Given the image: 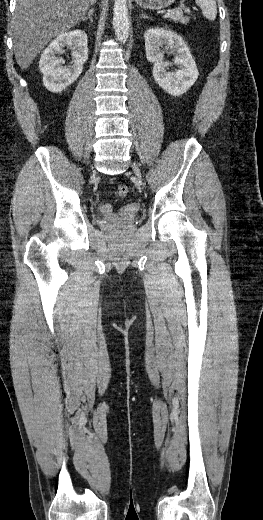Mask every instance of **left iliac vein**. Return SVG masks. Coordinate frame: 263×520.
Segmentation results:
<instances>
[{
  "mask_svg": "<svg viewBox=\"0 0 263 520\" xmlns=\"http://www.w3.org/2000/svg\"><path fill=\"white\" fill-rule=\"evenodd\" d=\"M133 170H134V173L137 176L138 180H140L141 179V173H140V170L138 169V167L134 165L133 166Z\"/></svg>",
  "mask_w": 263,
  "mask_h": 520,
  "instance_id": "obj_1",
  "label": "left iliac vein"
}]
</instances>
